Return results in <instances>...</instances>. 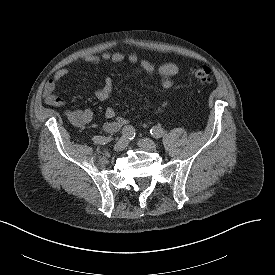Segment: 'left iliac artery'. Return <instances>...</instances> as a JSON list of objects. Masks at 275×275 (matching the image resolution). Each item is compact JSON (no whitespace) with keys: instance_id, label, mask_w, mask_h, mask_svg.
I'll list each match as a JSON object with an SVG mask.
<instances>
[{"instance_id":"1","label":"left iliac artery","mask_w":275,"mask_h":275,"mask_svg":"<svg viewBox=\"0 0 275 275\" xmlns=\"http://www.w3.org/2000/svg\"><path fill=\"white\" fill-rule=\"evenodd\" d=\"M150 133L154 138H160L164 135L165 131L160 126H154L150 130Z\"/></svg>"}]
</instances>
